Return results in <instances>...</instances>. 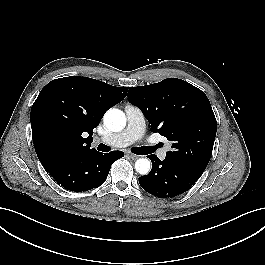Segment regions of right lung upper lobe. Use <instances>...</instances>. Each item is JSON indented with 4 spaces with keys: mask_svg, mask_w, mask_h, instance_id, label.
Instances as JSON below:
<instances>
[{
    "mask_svg": "<svg viewBox=\"0 0 265 265\" xmlns=\"http://www.w3.org/2000/svg\"><path fill=\"white\" fill-rule=\"evenodd\" d=\"M127 91L128 87L88 77L70 76L49 82L30 113L34 148L41 164L96 150L90 148L93 129L110 107L126 97Z\"/></svg>",
    "mask_w": 265,
    "mask_h": 265,
    "instance_id": "obj_1",
    "label": "right lung upper lobe"
}]
</instances>
